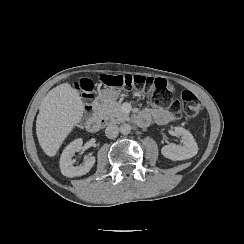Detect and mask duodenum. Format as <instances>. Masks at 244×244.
I'll return each instance as SVG.
<instances>
[{
    "label": "duodenum",
    "mask_w": 244,
    "mask_h": 244,
    "mask_svg": "<svg viewBox=\"0 0 244 244\" xmlns=\"http://www.w3.org/2000/svg\"><path fill=\"white\" fill-rule=\"evenodd\" d=\"M107 98L108 96L102 95L96 98L92 104L94 115L91 116L86 122V129L91 133L97 132L105 122L104 109L106 106ZM138 120L142 124L147 122V119L141 115Z\"/></svg>",
    "instance_id": "obj_1"
}]
</instances>
